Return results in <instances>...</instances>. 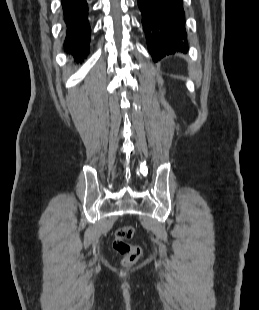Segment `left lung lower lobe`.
I'll return each mask as SVG.
<instances>
[{"label": "left lung lower lobe", "mask_w": 259, "mask_h": 310, "mask_svg": "<svg viewBox=\"0 0 259 310\" xmlns=\"http://www.w3.org/2000/svg\"><path fill=\"white\" fill-rule=\"evenodd\" d=\"M148 50L154 61L186 52L185 18L182 0H138Z\"/></svg>", "instance_id": "left-lung-lower-lobe-1"}]
</instances>
